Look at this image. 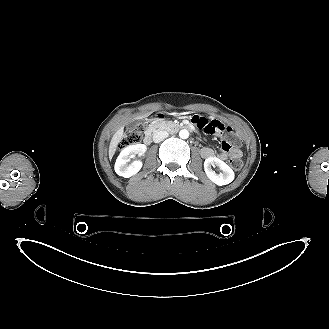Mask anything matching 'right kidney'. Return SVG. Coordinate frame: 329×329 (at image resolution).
I'll return each instance as SVG.
<instances>
[{
	"instance_id": "1",
	"label": "right kidney",
	"mask_w": 329,
	"mask_h": 329,
	"mask_svg": "<svg viewBox=\"0 0 329 329\" xmlns=\"http://www.w3.org/2000/svg\"><path fill=\"white\" fill-rule=\"evenodd\" d=\"M146 149L144 144H133L125 147L116 159L114 167L115 172L124 178H129L138 173L142 167V161L136 160L128 164L130 161V154L143 155Z\"/></svg>"
}]
</instances>
